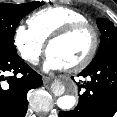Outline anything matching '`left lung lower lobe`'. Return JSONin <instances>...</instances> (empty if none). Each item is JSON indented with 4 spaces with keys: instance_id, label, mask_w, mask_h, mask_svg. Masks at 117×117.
I'll return each instance as SVG.
<instances>
[{
    "instance_id": "obj_1",
    "label": "left lung lower lobe",
    "mask_w": 117,
    "mask_h": 117,
    "mask_svg": "<svg viewBox=\"0 0 117 117\" xmlns=\"http://www.w3.org/2000/svg\"><path fill=\"white\" fill-rule=\"evenodd\" d=\"M89 76L90 81L79 85L84 88L76 109L59 112V117H112L117 111V48L98 62L87 66L78 76Z\"/></svg>"
}]
</instances>
